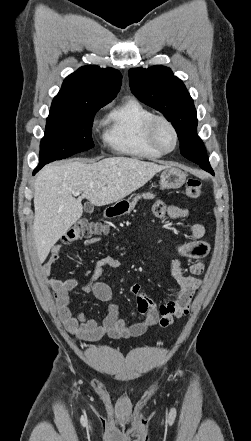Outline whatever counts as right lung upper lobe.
<instances>
[{"instance_id": "obj_1", "label": "right lung upper lobe", "mask_w": 251, "mask_h": 441, "mask_svg": "<svg viewBox=\"0 0 251 441\" xmlns=\"http://www.w3.org/2000/svg\"><path fill=\"white\" fill-rule=\"evenodd\" d=\"M122 76L112 68L84 66L66 77L51 107H75L89 98L112 100L121 87Z\"/></svg>"}]
</instances>
